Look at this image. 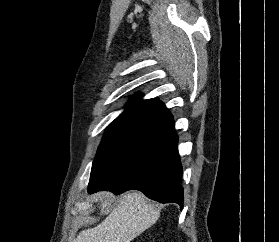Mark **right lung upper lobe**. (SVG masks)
I'll return each instance as SVG.
<instances>
[{"label":"right lung upper lobe","mask_w":279,"mask_h":242,"mask_svg":"<svg viewBox=\"0 0 279 242\" xmlns=\"http://www.w3.org/2000/svg\"><path fill=\"white\" fill-rule=\"evenodd\" d=\"M127 113H139L163 118L170 112L161 101L153 99L142 100L140 96L135 95L124 111V114Z\"/></svg>","instance_id":"right-lung-upper-lobe-1"}]
</instances>
